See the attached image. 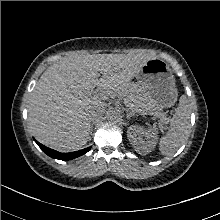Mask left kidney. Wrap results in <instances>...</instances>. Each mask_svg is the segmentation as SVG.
Returning <instances> with one entry per match:
<instances>
[{
	"mask_svg": "<svg viewBox=\"0 0 220 220\" xmlns=\"http://www.w3.org/2000/svg\"><path fill=\"white\" fill-rule=\"evenodd\" d=\"M127 136L135 151L141 155L150 153L157 143V134L153 129L137 125L128 128Z\"/></svg>",
	"mask_w": 220,
	"mask_h": 220,
	"instance_id": "obj_1",
	"label": "left kidney"
}]
</instances>
